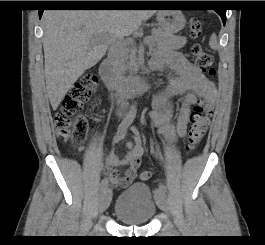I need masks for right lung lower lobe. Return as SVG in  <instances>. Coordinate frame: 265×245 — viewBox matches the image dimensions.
<instances>
[{
  "mask_svg": "<svg viewBox=\"0 0 265 245\" xmlns=\"http://www.w3.org/2000/svg\"><path fill=\"white\" fill-rule=\"evenodd\" d=\"M56 6H81V7H117L120 6L119 1H82L81 3H60ZM44 10H39L41 18Z\"/></svg>",
  "mask_w": 265,
  "mask_h": 245,
  "instance_id": "obj_1",
  "label": "right lung lower lobe"
}]
</instances>
